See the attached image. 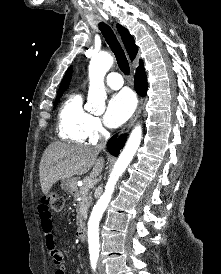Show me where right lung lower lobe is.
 <instances>
[{"instance_id":"obj_1","label":"right lung lower lobe","mask_w":221,"mask_h":274,"mask_svg":"<svg viewBox=\"0 0 221 274\" xmlns=\"http://www.w3.org/2000/svg\"><path fill=\"white\" fill-rule=\"evenodd\" d=\"M134 84H135V90L137 91L138 94L141 96H145L147 92V78H146V73L144 70V67L141 69L136 70V74L134 77ZM126 140V135H121L119 138H116V136H113L110 138V140L107 143V148L109 152L114 155L118 156L120 150L124 146V141Z\"/></svg>"}]
</instances>
